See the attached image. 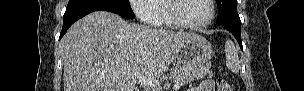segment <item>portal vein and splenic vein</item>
I'll list each match as a JSON object with an SVG mask.
<instances>
[{
	"instance_id": "portal-vein-and-splenic-vein-1",
	"label": "portal vein and splenic vein",
	"mask_w": 304,
	"mask_h": 91,
	"mask_svg": "<svg viewBox=\"0 0 304 91\" xmlns=\"http://www.w3.org/2000/svg\"><path fill=\"white\" fill-rule=\"evenodd\" d=\"M140 82L142 84H145L149 87L155 88L156 86H158L159 82L158 80L154 79V78H140ZM179 89V85L175 84L174 85V90L177 91Z\"/></svg>"
}]
</instances>
